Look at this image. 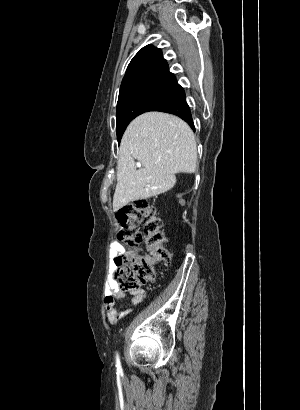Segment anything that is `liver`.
I'll return each instance as SVG.
<instances>
[{"instance_id":"obj_1","label":"liver","mask_w":300,"mask_h":410,"mask_svg":"<svg viewBox=\"0 0 300 410\" xmlns=\"http://www.w3.org/2000/svg\"><path fill=\"white\" fill-rule=\"evenodd\" d=\"M135 159L142 169H136ZM196 162L195 136L182 119L162 112L138 116L121 140L113 211L167 192L176 183L175 174L194 173Z\"/></svg>"}]
</instances>
